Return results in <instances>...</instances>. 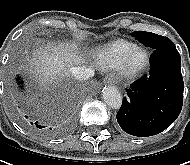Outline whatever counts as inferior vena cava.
<instances>
[{
  "label": "inferior vena cava",
  "mask_w": 190,
  "mask_h": 165,
  "mask_svg": "<svg viewBox=\"0 0 190 165\" xmlns=\"http://www.w3.org/2000/svg\"><path fill=\"white\" fill-rule=\"evenodd\" d=\"M70 71L76 79L81 81L88 80L94 74L93 70H91L90 68H86L85 66L72 67Z\"/></svg>",
  "instance_id": "602c4592"
}]
</instances>
